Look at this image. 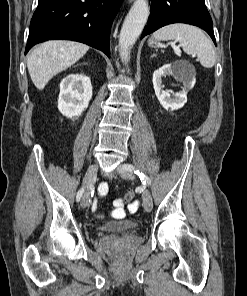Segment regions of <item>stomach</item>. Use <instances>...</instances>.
Here are the masks:
<instances>
[{
  "label": "stomach",
  "mask_w": 247,
  "mask_h": 296,
  "mask_svg": "<svg viewBox=\"0 0 247 296\" xmlns=\"http://www.w3.org/2000/svg\"><path fill=\"white\" fill-rule=\"evenodd\" d=\"M149 46L151 47H159L161 44L159 41L154 40V39H150L148 42Z\"/></svg>",
  "instance_id": "0dacf381"
}]
</instances>
